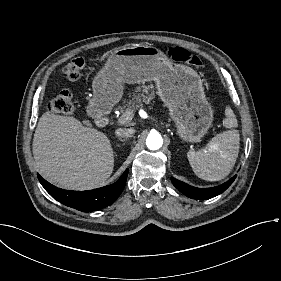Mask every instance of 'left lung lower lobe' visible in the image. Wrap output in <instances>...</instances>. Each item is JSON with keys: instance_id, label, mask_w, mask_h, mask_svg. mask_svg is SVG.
Returning <instances> with one entry per match:
<instances>
[{"instance_id": "0a47b994", "label": "left lung lower lobe", "mask_w": 281, "mask_h": 281, "mask_svg": "<svg viewBox=\"0 0 281 281\" xmlns=\"http://www.w3.org/2000/svg\"><path fill=\"white\" fill-rule=\"evenodd\" d=\"M235 178H236V175L233 178H231L229 181H227L226 183L219 185L217 187H211V188H196V187L190 186L182 181H179V180L175 179L174 177L171 178V181H172L173 185L186 196H188L192 199H196V200H205V199L215 197V196L221 194L222 192H224L232 184V182L235 180Z\"/></svg>"}]
</instances>
